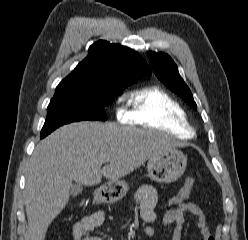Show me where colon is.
I'll use <instances>...</instances> for the list:
<instances>
[{
    "mask_svg": "<svg viewBox=\"0 0 248 240\" xmlns=\"http://www.w3.org/2000/svg\"><path fill=\"white\" fill-rule=\"evenodd\" d=\"M194 180L192 178H188L178 193L172 196L166 203L168 207H177L178 205L184 203L186 199L189 197L191 189L193 187Z\"/></svg>",
    "mask_w": 248,
    "mask_h": 240,
    "instance_id": "5ec220e1",
    "label": "colon"
}]
</instances>
